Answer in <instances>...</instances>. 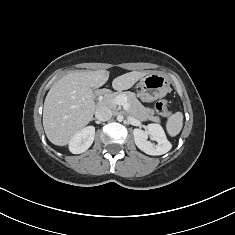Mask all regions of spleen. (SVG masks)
<instances>
[{"label":"spleen","instance_id":"3e777b00","mask_svg":"<svg viewBox=\"0 0 235 235\" xmlns=\"http://www.w3.org/2000/svg\"><path fill=\"white\" fill-rule=\"evenodd\" d=\"M183 127V114L176 112L171 115L166 123V130L171 137L178 135Z\"/></svg>","mask_w":235,"mask_h":235}]
</instances>
